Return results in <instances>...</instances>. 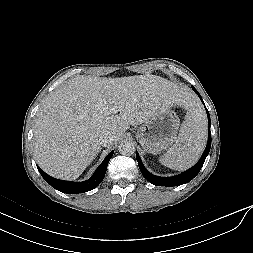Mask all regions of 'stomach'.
Here are the masks:
<instances>
[{
  "instance_id": "stomach-1",
  "label": "stomach",
  "mask_w": 253,
  "mask_h": 253,
  "mask_svg": "<svg viewBox=\"0 0 253 253\" xmlns=\"http://www.w3.org/2000/svg\"><path fill=\"white\" fill-rule=\"evenodd\" d=\"M179 123L178 116L170 108L159 109L139 127L136 137L146 151L157 153L176 140Z\"/></svg>"
}]
</instances>
